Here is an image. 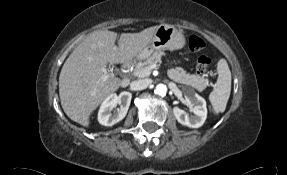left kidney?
I'll return each instance as SVG.
<instances>
[{
    "instance_id": "5707ae66",
    "label": "left kidney",
    "mask_w": 287,
    "mask_h": 175,
    "mask_svg": "<svg viewBox=\"0 0 287 175\" xmlns=\"http://www.w3.org/2000/svg\"><path fill=\"white\" fill-rule=\"evenodd\" d=\"M185 99L190 107H192V112L194 115H189L184 110L174 107L173 113L177 121L190 128L201 127L207 118V107L204 98L196 93H188Z\"/></svg>"
}]
</instances>
